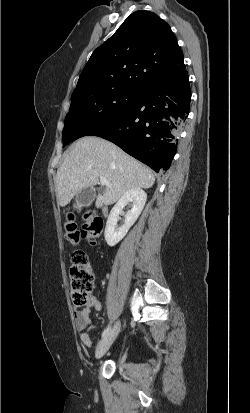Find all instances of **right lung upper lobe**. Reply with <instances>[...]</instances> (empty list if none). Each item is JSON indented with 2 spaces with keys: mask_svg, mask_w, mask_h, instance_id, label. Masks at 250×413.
Wrapping results in <instances>:
<instances>
[{
  "mask_svg": "<svg viewBox=\"0 0 250 413\" xmlns=\"http://www.w3.org/2000/svg\"><path fill=\"white\" fill-rule=\"evenodd\" d=\"M170 26L149 11H136L91 55L73 92L177 81L187 71Z\"/></svg>",
  "mask_w": 250,
  "mask_h": 413,
  "instance_id": "cb5924a9",
  "label": "right lung upper lobe"
}]
</instances>
